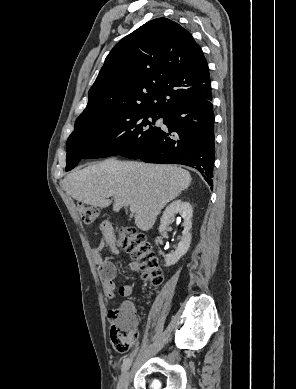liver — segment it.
Listing matches in <instances>:
<instances>
[{
  "mask_svg": "<svg viewBox=\"0 0 296 389\" xmlns=\"http://www.w3.org/2000/svg\"><path fill=\"white\" fill-rule=\"evenodd\" d=\"M190 173L177 166L123 162L107 159L69 173L62 186L73 199L94 207L105 208L112 200L113 211L135 206V224L150 230L168 202L191 184Z\"/></svg>",
  "mask_w": 296,
  "mask_h": 389,
  "instance_id": "1",
  "label": "liver"
}]
</instances>
